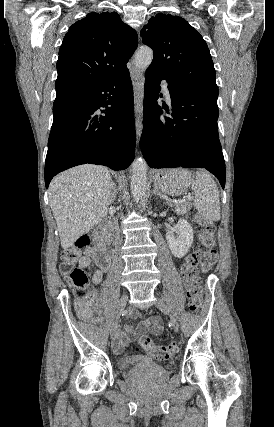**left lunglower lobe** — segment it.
I'll return each instance as SVG.
<instances>
[{
	"label": "left lung lower lobe",
	"instance_id": "0a47b994",
	"mask_svg": "<svg viewBox=\"0 0 274 427\" xmlns=\"http://www.w3.org/2000/svg\"><path fill=\"white\" fill-rule=\"evenodd\" d=\"M141 149L152 168H205L225 186L216 95L184 88L154 70L145 73ZM168 81L171 107L159 106L161 80ZM165 114L167 116H164Z\"/></svg>",
	"mask_w": 274,
	"mask_h": 427
}]
</instances>
